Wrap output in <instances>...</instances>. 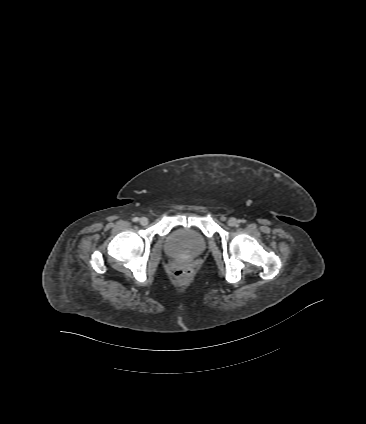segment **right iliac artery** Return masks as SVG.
Returning a JSON list of instances; mask_svg holds the SVG:
<instances>
[{"label":"right iliac artery","instance_id":"82829eb1","mask_svg":"<svg viewBox=\"0 0 366 424\" xmlns=\"http://www.w3.org/2000/svg\"><path fill=\"white\" fill-rule=\"evenodd\" d=\"M133 221L134 222H138L139 221V218L138 217H135V218H133Z\"/></svg>","mask_w":366,"mask_h":424}]
</instances>
